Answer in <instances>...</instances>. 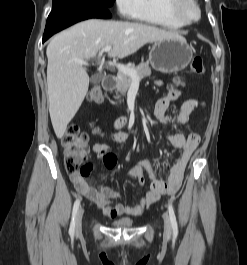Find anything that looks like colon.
I'll list each match as a JSON object with an SVG mask.
<instances>
[{
	"mask_svg": "<svg viewBox=\"0 0 247 265\" xmlns=\"http://www.w3.org/2000/svg\"><path fill=\"white\" fill-rule=\"evenodd\" d=\"M191 72L203 74L205 67L200 56H195L190 66ZM182 81L177 78L173 86H178ZM173 91L175 88L172 89ZM88 99L94 103H100L103 100V93L99 86H94L89 90ZM88 135L80 131L76 124L69 126L62 139L64 152L65 169L70 175L88 176L92 170L91 164L85 163L87 155Z\"/></svg>",
	"mask_w": 247,
	"mask_h": 265,
	"instance_id": "colon-1",
	"label": "colon"
}]
</instances>
